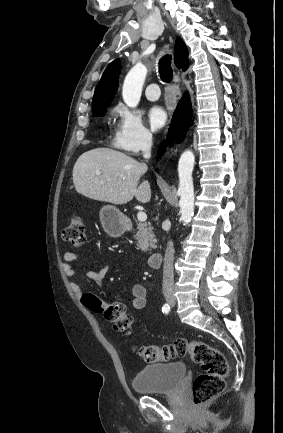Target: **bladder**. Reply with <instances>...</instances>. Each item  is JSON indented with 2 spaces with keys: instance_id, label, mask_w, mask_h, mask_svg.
Returning <instances> with one entry per match:
<instances>
[{
  "instance_id": "1",
  "label": "bladder",
  "mask_w": 283,
  "mask_h": 433,
  "mask_svg": "<svg viewBox=\"0 0 283 433\" xmlns=\"http://www.w3.org/2000/svg\"><path fill=\"white\" fill-rule=\"evenodd\" d=\"M185 373L183 362L145 366L135 375L132 387L137 390V393L175 391L179 387L180 381L184 378Z\"/></svg>"
}]
</instances>
